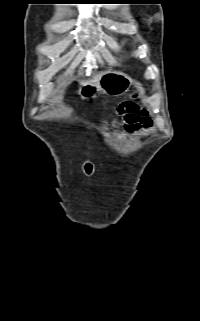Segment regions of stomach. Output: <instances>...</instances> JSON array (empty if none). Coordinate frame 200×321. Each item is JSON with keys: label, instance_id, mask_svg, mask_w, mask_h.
Listing matches in <instances>:
<instances>
[{"label": "stomach", "instance_id": "obj_1", "mask_svg": "<svg viewBox=\"0 0 200 321\" xmlns=\"http://www.w3.org/2000/svg\"><path fill=\"white\" fill-rule=\"evenodd\" d=\"M131 84V79L124 73L108 71L97 82L83 84L78 94L82 99L94 97L98 91L109 95H119L127 92Z\"/></svg>", "mask_w": 200, "mask_h": 321}]
</instances>
